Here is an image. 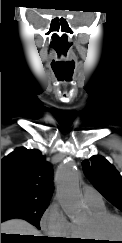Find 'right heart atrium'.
Wrapping results in <instances>:
<instances>
[{
	"mask_svg": "<svg viewBox=\"0 0 122 243\" xmlns=\"http://www.w3.org/2000/svg\"><path fill=\"white\" fill-rule=\"evenodd\" d=\"M41 228L49 236L65 239L72 235L73 224L65 215L60 204L53 202L42 216Z\"/></svg>",
	"mask_w": 122,
	"mask_h": 243,
	"instance_id": "right-heart-atrium-1",
	"label": "right heart atrium"
}]
</instances>
